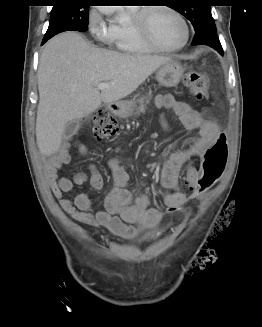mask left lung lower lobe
<instances>
[{
    "label": "left lung lower lobe",
    "mask_w": 262,
    "mask_h": 327,
    "mask_svg": "<svg viewBox=\"0 0 262 327\" xmlns=\"http://www.w3.org/2000/svg\"><path fill=\"white\" fill-rule=\"evenodd\" d=\"M201 44L209 45L223 55V49L217 36L214 21L204 25L196 32L192 45Z\"/></svg>",
    "instance_id": "0a47b994"
}]
</instances>
